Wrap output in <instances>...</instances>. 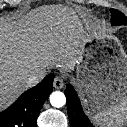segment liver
Segmentation results:
<instances>
[{
    "label": "liver",
    "mask_w": 127,
    "mask_h": 127,
    "mask_svg": "<svg viewBox=\"0 0 127 127\" xmlns=\"http://www.w3.org/2000/svg\"><path fill=\"white\" fill-rule=\"evenodd\" d=\"M85 19L75 8L43 6L20 19H0V111L29 88L39 70L71 71L80 55Z\"/></svg>",
    "instance_id": "liver-1"
}]
</instances>
